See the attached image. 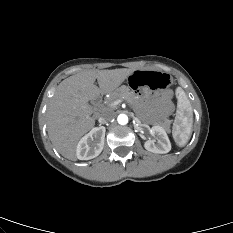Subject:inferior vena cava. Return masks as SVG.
<instances>
[{"mask_svg":"<svg viewBox=\"0 0 233 233\" xmlns=\"http://www.w3.org/2000/svg\"><path fill=\"white\" fill-rule=\"evenodd\" d=\"M114 117V113L112 111H104L99 117L98 121L100 124H106L110 122Z\"/></svg>","mask_w":233,"mask_h":233,"instance_id":"602c4592","label":"inferior vena cava"}]
</instances>
